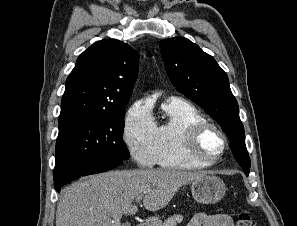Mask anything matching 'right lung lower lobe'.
I'll use <instances>...</instances> for the list:
<instances>
[{"mask_svg": "<svg viewBox=\"0 0 297 226\" xmlns=\"http://www.w3.org/2000/svg\"><path fill=\"white\" fill-rule=\"evenodd\" d=\"M122 162L106 157H88L69 161L54 168V186L60 192L63 185L76 180L80 176H86L108 171L117 167Z\"/></svg>", "mask_w": 297, "mask_h": 226, "instance_id": "right-lung-lower-lobe-1", "label": "right lung lower lobe"}]
</instances>
